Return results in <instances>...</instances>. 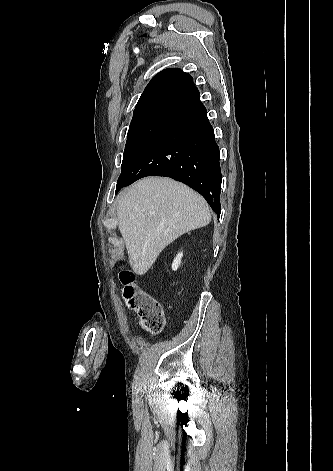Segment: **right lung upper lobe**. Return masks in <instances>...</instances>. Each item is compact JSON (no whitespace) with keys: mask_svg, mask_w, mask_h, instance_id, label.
Masks as SVG:
<instances>
[{"mask_svg":"<svg viewBox=\"0 0 333 471\" xmlns=\"http://www.w3.org/2000/svg\"><path fill=\"white\" fill-rule=\"evenodd\" d=\"M199 96L192 76L179 68H168L148 83L133 117L161 116L177 120L200 102Z\"/></svg>","mask_w":333,"mask_h":471,"instance_id":"cb5924a9","label":"right lung upper lobe"}]
</instances>
